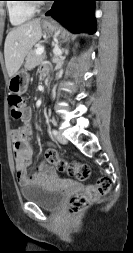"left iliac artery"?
I'll list each match as a JSON object with an SVG mask.
<instances>
[{
    "instance_id": "obj_1",
    "label": "left iliac artery",
    "mask_w": 133,
    "mask_h": 253,
    "mask_svg": "<svg viewBox=\"0 0 133 253\" xmlns=\"http://www.w3.org/2000/svg\"><path fill=\"white\" fill-rule=\"evenodd\" d=\"M51 133H52L53 135H55V136L58 134L57 130H55V129H53V130L51 131Z\"/></svg>"
}]
</instances>
